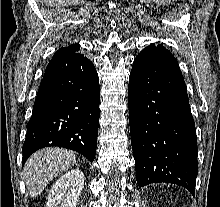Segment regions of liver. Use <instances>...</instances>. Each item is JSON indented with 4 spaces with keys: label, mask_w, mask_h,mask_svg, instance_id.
Segmentation results:
<instances>
[{
    "label": "liver",
    "mask_w": 220,
    "mask_h": 207,
    "mask_svg": "<svg viewBox=\"0 0 220 207\" xmlns=\"http://www.w3.org/2000/svg\"><path fill=\"white\" fill-rule=\"evenodd\" d=\"M76 163L73 152L62 148H44L25 163L23 177L31 197L41 194L47 184Z\"/></svg>",
    "instance_id": "obj_1"
}]
</instances>
